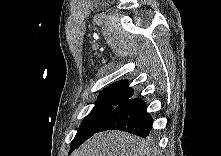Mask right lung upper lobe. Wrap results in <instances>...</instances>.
Wrapping results in <instances>:
<instances>
[{
	"mask_svg": "<svg viewBox=\"0 0 221 156\" xmlns=\"http://www.w3.org/2000/svg\"><path fill=\"white\" fill-rule=\"evenodd\" d=\"M133 96V90L128 86L126 80L113 83L104 89L100 94V99H119L126 101Z\"/></svg>",
	"mask_w": 221,
	"mask_h": 156,
	"instance_id": "cb5924a9",
	"label": "right lung upper lobe"
}]
</instances>
